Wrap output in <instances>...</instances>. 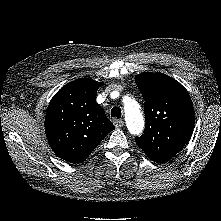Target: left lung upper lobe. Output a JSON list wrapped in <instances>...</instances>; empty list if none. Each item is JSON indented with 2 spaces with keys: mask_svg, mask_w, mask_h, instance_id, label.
I'll return each mask as SVG.
<instances>
[{
  "mask_svg": "<svg viewBox=\"0 0 221 221\" xmlns=\"http://www.w3.org/2000/svg\"><path fill=\"white\" fill-rule=\"evenodd\" d=\"M135 81L145 100L146 122L144 134L135 138L136 144L152 161L166 162L192 135V101L185 87L163 73H141Z\"/></svg>",
  "mask_w": 221,
  "mask_h": 221,
  "instance_id": "left-lung-upper-lobe-1",
  "label": "left lung upper lobe"
}]
</instances>
